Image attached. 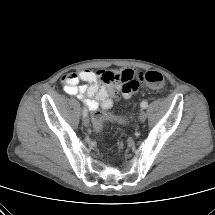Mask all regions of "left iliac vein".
Instances as JSON below:
<instances>
[{
  "label": "left iliac vein",
  "mask_w": 215,
  "mask_h": 215,
  "mask_svg": "<svg viewBox=\"0 0 215 215\" xmlns=\"http://www.w3.org/2000/svg\"><path fill=\"white\" fill-rule=\"evenodd\" d=\"M146 118H147V114L144 110H142L140 112V116H139L140 122H142V123L145 122Z\"/></svg>",
  "instance_id": "1"
}]
</instances>
